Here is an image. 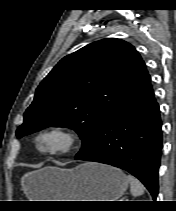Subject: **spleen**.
Segmentation results:
<instances>
[{"instance_id":"spleen-1","label":"spleen","mask_w":176,"mask_h":211,"mask_svg":"<svg viewBox=\"0 0 176 211\" xmlns=\"http://www.w3.org/2000/svg\"><path fill=\"white\" fill-rule=\"evenodd\" d=\"M126 178L130 183V191L133 196H140L144 193V187L138 179L131 175H127Z\"/></svg>"}]
</instances>
